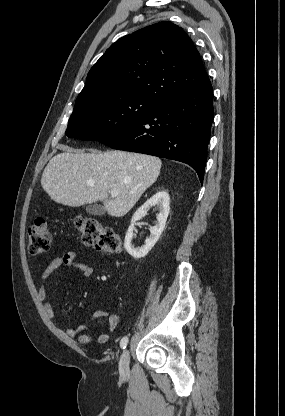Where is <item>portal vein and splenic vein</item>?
<instances>
[{"mask_svg":"<svg viewBox=\"0 0 285 416\" xmlns=\"http://www.w3.org/2000/svg\"><path fill=\"white\" fill-rule=\"evenodd\" d=\"M110 194H111V198H115V196H118L117 190H111Z\"/></svg>","mask_w":285,"mask_h":416,"instance_id":"portal-vein-and-splenic-vein-1","label":"portal vein and splenic vein"}]
</instances>
